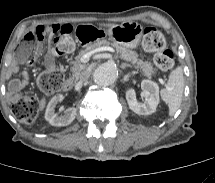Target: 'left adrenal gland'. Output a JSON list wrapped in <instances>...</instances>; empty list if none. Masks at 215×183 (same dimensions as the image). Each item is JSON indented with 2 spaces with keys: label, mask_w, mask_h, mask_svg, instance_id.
Returning <instances> with one entry per match:
<instances>
[{
  "label": "left adrenal gland",
  "mask_w": 215,
  "mask_h": 183,
  "mask_svg": "<svg viewBox=\"0 0 215 183\" xmlns=\"http://www.w3.org/2000/svg\"><path fill=\"white\" fill-rule=\"evenodd\" d=\"M125 67H131V66H130L129 64L122 63V64H121V68L124 69Z\"/></svg>",
  "instance_id": "a2214340"
}]
</instances>
